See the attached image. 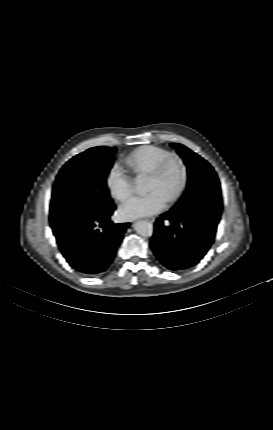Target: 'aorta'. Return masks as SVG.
<instances>
[{
    "mask_svg": "<svg viewBox=\"0 0 273 430\" xmlns=\"http://www.w3.org/2000/svg\"><path fill=\"white\" fill-rule=\"evenodd\" d=\"M135 186L137 192L139 193H144L147 191L146 181L142 178L136 179ZM134 229L139 235L144 237L152 236L153 233V225L145 220H138L137 222H135Z\"/></svg>",
    "mask_w": 273,
    "mask_h": 430,
    "instance_id": "1",
    "label": "aorta"
}]
</instances>
